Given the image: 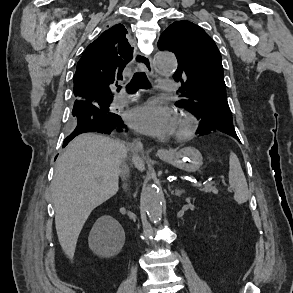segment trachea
Here are the masks:
<instances>
[{"instance_id": "trachea-1", "label": "trachea", "mask_w": 293, "mask_h": 293, "mask_svg": "<svg viewBox=\"0 0 293 293\" xmlns=\"http://www.w3.org/2000/svg\"><path fill=\"white\" fill-rule=\"evenodd\" d=\"M149 87V82L145 72H136L130 83L126 86V90L128 93H134L140 88L147 89Z\"/></svg>"}]
</instances>
